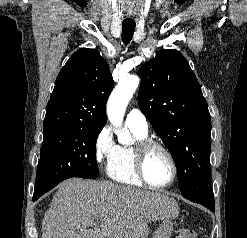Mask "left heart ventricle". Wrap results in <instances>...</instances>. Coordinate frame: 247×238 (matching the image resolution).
<instances>
[{"label":"left heart ventricle","instance_id":"left-heart-ventricle-1","mask_svg":"<svg viewBox=\"0 0 247 238\" xmlns=\"http://www.w3.org/2000/svg\"><path fill=\"white\" fill-rule=\"evenodd\" d=\"M145 173L148 180L157 185L167 183L172 176V167L168 157L160 149H152L145 161Z\"/></svg>","mask_w":247,"mask_h":238}]
</instances>
